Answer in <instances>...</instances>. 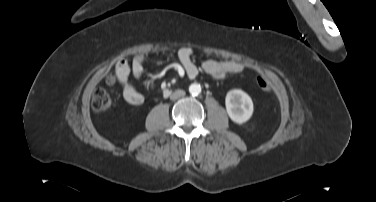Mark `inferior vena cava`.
Instances as JSON below:
<instances>
[{
    "mask_svg": "<svg viewBox=\"0 0 376 202\" xmlns=\"http://www.w3.org/2000/svg\"><path fill=\"white\" fill-rule=\"evenodd\" d=\"M184 95H185V91H183V90H178V91H176L175 93H173V94L171 95V99H177V98L182 97V96H184Z\"/></svg>",
    "mask_w": 376,
    "mask_h": 202,
    "instance_id": "602c4592",
    "label": "inferior vena cava"
}]
</instances>
